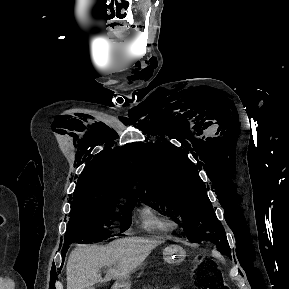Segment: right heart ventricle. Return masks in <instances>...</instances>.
Returning <instances> with one entry per match:
<instances>
[{
    "mask_svg": "<svg viewBox=\"0 0 289 289\" xmlns=\"http://www.w3.org/2000/svg\"><path fill=\"white\" fill-rule=\"evenodd\" d=\"M137 227L150 233H171L177 225L169 216L159 213L149 205L141 207L135 214Z\"/></svg>",
    "mask_w": 289,
    "mask_h": 289,
    "instance_id": "1",
    "label": "right heart ventricle"
}]
</instances>
